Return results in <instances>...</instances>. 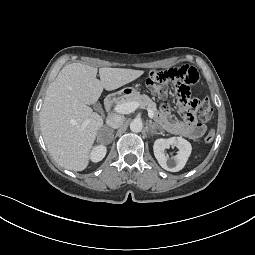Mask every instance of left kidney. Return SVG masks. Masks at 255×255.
Wrapping results in <instances>:
<instances>
[{"label":"left kidney","mask_w":255,"mask_h":255,"mask_svg":"<svg viewBox=\"0 0 255 255\" xmlns=\"http://www.w3.org/2000/svg\"><path fill=\"white\" fill-rule=\"evenodd\" d=\"M170 145L178 148L176 156L168 158L165 149ZM154 155L162 168L171 172H177L184 168L192 151L191 144L182 137H171L168 139H157L153 145Z\"/></svg>","instance_id":"obj_1"}]
</instances>
